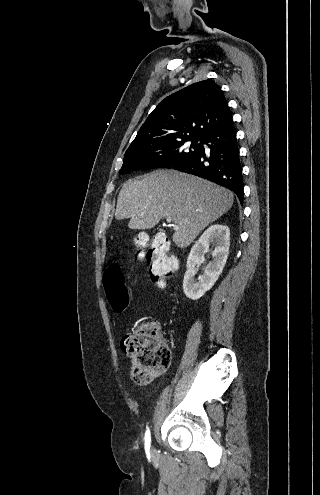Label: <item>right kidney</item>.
Wrapping results in <instances>:
<instances>
[{
	"mask_svg": "<svg viewBox=\"0 0 320 495\" xmlns=\"http://www.w3.org/2000/svg\"><path fill=\"white\" fill-rule=\"evenodd\" d=\"M229 240V228L216 224L205 230L196 241L188 256L187 270L183 280V291L189 299L201 298L218 280L228 258ZM211 243L215 244V249L212 251L213 261L205 267L203 275L199 276L196 282L194 278L197 266L205 261L204 255L208 252Z\"/></svg>",
	"mask_w": 320,
	"mask_h": 495,
	"instance_id": "right-kidney-1",
	"label": "right kidney"
}]
</instances>
